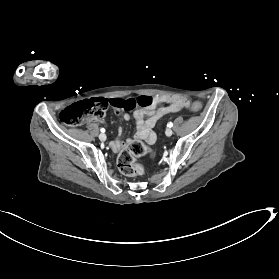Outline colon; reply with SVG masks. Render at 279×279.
<instances>
[{
  "label": "colon",
  "mask_w": 279,
  "mask_h": 279,
  "mask_svg": "<svg viewBox=\"0 0 279 279\" xmlns=\"http://www.w3.org/2000/svg\"><path fill=\"white\" fill-rule=\"evenodd\" d=\"M155 105L154 97L142 95L137 98H95L84 100L66 107L59 115L60 120L70 126L81 125L92 118L103 117L107 110L114 109L133 110L136 107L150 108ZM193 112L202 109L200 102H193L190 105ZM149 152L148 148L141 141L131 142L118 157V166L121 172L128 176H139L144 173V166L137 162V158Z\"/></svg>",
  "instance_id": "colon-1"
}]
</instances>
